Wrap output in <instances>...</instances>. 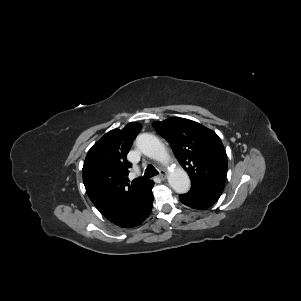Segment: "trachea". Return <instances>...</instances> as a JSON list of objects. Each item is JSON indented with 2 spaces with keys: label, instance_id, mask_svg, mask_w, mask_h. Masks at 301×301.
<instances>
[{
  "label": "trachea",
  "instance_id": "3493384b",
  "mask_svg": "<svg viewBox=\"0 0 301 301\" xmlns=\"http://www.w3.org/2000/svg\"><path fill=\"white\" fill-rule=\"evenodd\" d=\"M157 174H159V172L152 165H148L145 170L143 179H149Z\"/></svg>",
  "mask_w": 301,
  "mask_h": 301
}]
</instances>
